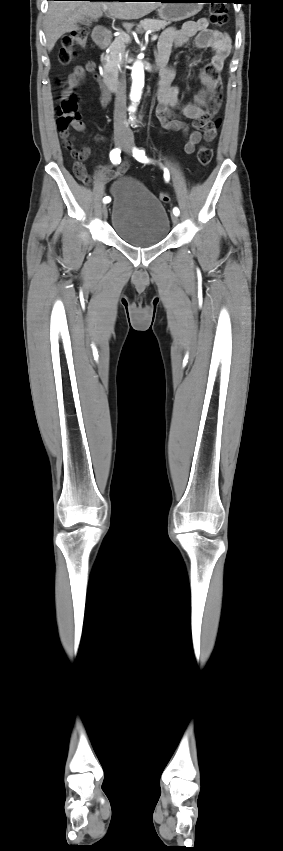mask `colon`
Wrapping results in <instances>:
<instances>
[{
  "label": "colon",
  "instance_id": "1",
  "mask_svg": "<svg viewBox=\"0 0 283 851\" xmlns=\"http://www.w3.org/2000/svg\"><path fill=\"white\" fill-rule=\"evenodd\" d=\"M210 20L216 26L221 27L225 25L228 20L227 7L223 4H214L210 10ZM87 41L88 30L84 27H80L66 34L62 38V46L58 55L60 63L63 65H69L72 63L76 57V50L83 49L86 46ZM56 114L58 117L57 124L60 132L67 131L69 126L81 124L82 120L78 110V100L76 95L71 93L69 96L63 97V100L57 107ZM219 125L220 121L215 120L209 121L204 126L206 144L202 145L197 152V160L202 166L208 165L212 160L213 151L208 144L215 138ZM74 174L82 182L89 183L91 181V177L86 172V169L80 165L74 166ZM159 198L163 202H168L170 200V195L168 192L163 191L159 194Z\"/></svg>",
  "mask_w": 283,
  "mask_h": 851
}]
</instances>
